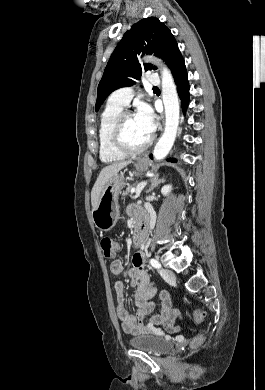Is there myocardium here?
<instances>
[{"mask_svg":"<svg viewBox=\"0 0 265 390\" xmlns=\"http://www.w3.org/2000/svg\"><path fill=\"white\" fill-rule=\"evenodd\" d=\"M134 114L131 111H122L118 116L111 133V140L114 148L125 156H134L143 153L151 144V138H149L142 146L138 148L130 147L124 139V123L126 119Z\"/></svg>","mask_w":265,"mask_h":390,"instance_id":"myocardium-1","label":"myocardium"}]
</instances>
